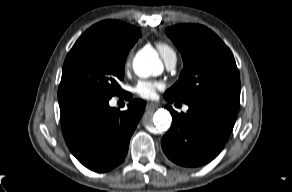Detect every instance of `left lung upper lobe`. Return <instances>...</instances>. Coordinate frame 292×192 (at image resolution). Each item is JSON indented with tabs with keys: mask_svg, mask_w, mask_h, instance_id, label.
Returning a JSON list of instances; mask_svg holds the SVG:
<instances>
[{
	"mask_svg": "<svg viewBox=\"0 0 292 192\" xmlns=\"http://www.w3.org/2000/svg\"><path fill=\"white\" fill-rule=\"evenodd\" d=\"M166 34L182 54L184 69L165 97L186 104L225 101L239 104L240 78L230 49L210 29L183 24Z\"/></svg>",
	"mask_w": 292,
	"mask_h": 192,
	"instance_id": "5c2ea615",
	"label": "left lung upper lobe"
}]
</instances>
